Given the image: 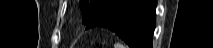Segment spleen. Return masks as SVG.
<instances>
[{"instance_id": "3e777b00", "label": "spleen", "mask_w": 213, "mask_h": 48, "mask_svg": "<svg viewBox=\"0 0 213 48\" xmlns=\"http://www.w3.org/2000/svg\"><path fill=\"white\" fill-rule=\"evenodd\" d=\"M114 48H127L125 45H123L122 43L116 42L114 44Z\"/></svg>"}]
</instances>
